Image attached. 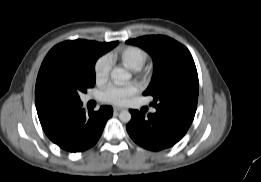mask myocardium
<instances>
[{
    "instance_id": "1",
    "label": "myocardium",
    "mask_w": 261,
    "mask_h": 182,
    "mask_svg": "<svg viewBox=\"0 0 261 182\" xmlns=\"http://www.w3.org/2000/svg\"><path fill=\"white\" fill-rule=\"evenodd\" d=\"M136 74L143 76L145 74V71L141 68L134 70Z\"/></svg>"
}]
</instances>
